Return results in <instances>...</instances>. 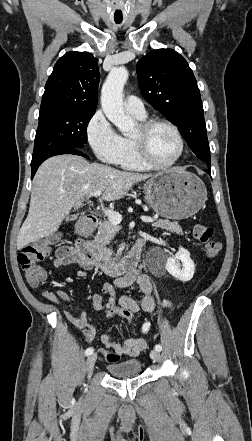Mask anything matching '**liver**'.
<instances>
[{"label":"liver","mask_w":252,"mask_h":441,"mask_svg":"<svg viewBox=\"0 0 252 441\" xmlns=\"http://www.w3.org/2000/svg\"><path fill=\"white\" fill-rule=\"evenodd\" d=\"M150 177L89 163L75 155L47 159L33 179L29 212L17 237V249L54 234L70 211L82 206L89 193L100 190L104 192L103 200H119L134 184Z\"/></svg>","instance_id":"1"}]
</instances>
